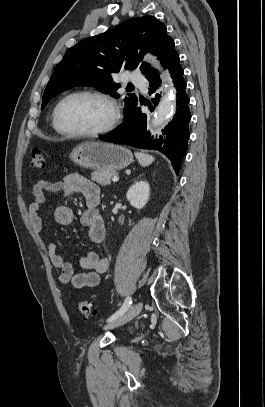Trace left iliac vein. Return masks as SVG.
Wrapping results in <instances>:
<instances>
[{"instance_id":"4c4485c4","label":"left iliac vein","mask_w":265,"mask_h":407,"mask_svg":"<svg viewBox=\"0 0 265 407\" xmlns=\"http://www.w3.org/2000/svg\"><path fill=\"white\" fill-rule=\"evenodd\" d=\"M143 309V303L138 302L134 306H132L125 314L121 315L117 319L111 321L107 325L103 327L104 330H109L121 325L126 324L127 322L131 321L135 318Z\"/></svg>"}]
</instances>
